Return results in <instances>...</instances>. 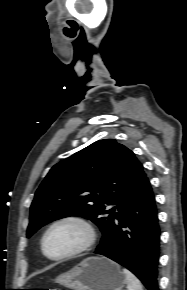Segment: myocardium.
Listing matches in <instances>:
<instances>
[{"label":"myocardium","mask_w":187,"mask_h":290,"mask_svg":"<svg viewBox=\"0 0 187 290\" xmlns=\"http://www.w3.org/2000/svg\"><path fill=\"white\" fill-rule=\"evenodd\" d=\"M61 224H74V225L79 226L85 234V240L78 248H76L68 253H65V254L60 255V256H51L48 254V252L46 250V240H47V237L50 234V232L55 227H57ZM96 237H97L96 230H95L94 226L92 225V223L87 218H85L84 216H81V215H76V214L66 215V216H62V217L54 220L46 228V230L42 236V239H41V249H42L43 254L50 260H53V261L66 260V259L76 257V256L83 254L84 252L90 250L92 248V246L95 244Z\"/></svg>","instance_id":"myocardium-1"}]
</instances>
